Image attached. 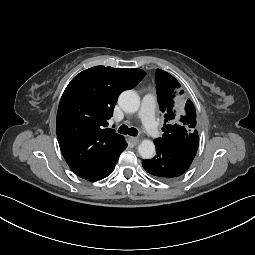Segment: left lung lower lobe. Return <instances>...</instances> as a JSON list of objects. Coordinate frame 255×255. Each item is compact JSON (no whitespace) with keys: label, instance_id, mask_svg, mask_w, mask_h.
I'll return each instance as SVG.
<instances>
[{"label":"left lung lower lobe","instance_id":"0a47b994","mask_svg":"<svg viewBox=\"0 0 255 255\" xmlns=\"http://www.w3.org/2000/svg\"><path fill=\"white\" fill-rule=\"evenodd\" d=\"M198 142V139L165 145L154 142L156 155L150 160H143V168L160 180H173L190 167L198 149Z\"/></svg>","mask_w":255,"mask_h":255}]
</instances>
